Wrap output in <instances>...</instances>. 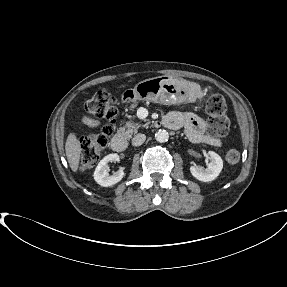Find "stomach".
<instances>
[{
  "instance_id": "stomach-1",
  "label": "stomach",
  "mask_w": 287,
  "mask_h": 287,
  "mask_svg": "<svg viewBox=\"0 0 287 287\" xmlns=\"http://www.w3.org/2000/svg\"><path fill=\"white\" fill-rule=\"evenodd\" d=\"M197 97L196 91L185 81L169 75L143 80L122 94L124 103L151 101L164 105L181 104Z\"/></svg>"
}]
</instances>
